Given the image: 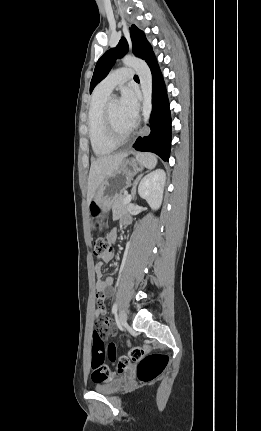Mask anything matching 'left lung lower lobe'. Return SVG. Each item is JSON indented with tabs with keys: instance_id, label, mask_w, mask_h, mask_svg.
<instances>
[{
	"instance_id": "obj_1",
	"label": "left lung lower lobe",
	"mask_w": 261,
	"mask_h": 431,
	"mask_svg": "<svg viewBox=\"0 0 261 431\" xmlns=\"http://www.w3.org/2000/svg\"><path fill=\"white\" fill-rule=\"evenodd\" d=\"M146 62L153 76L151 133L146 137H139L133 147L138 151L153 152L164 161H168L171 147V116L166 88L153 53Z\"/></svg>"
}]
</instances>
